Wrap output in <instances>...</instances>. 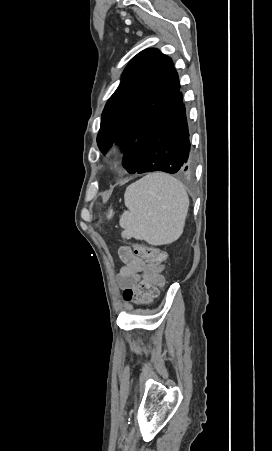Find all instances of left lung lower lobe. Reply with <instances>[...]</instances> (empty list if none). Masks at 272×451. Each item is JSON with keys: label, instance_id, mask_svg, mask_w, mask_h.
Instances as JSON below:
<instances>
[{"label": "left lung lower lobe", "instance_id": "obj_1", "mask_svg": "<svg viewBox=\"0 0 272 451\" xmlns=\"http://www.w3.org/2000/svg\"><path fill=\"white\" fill-rule=\"evenodd\" d=\"M189 130L180 89L159 117L137 173L183 172L192 168Z\"/></svg>", "mask_w": 272, "mask_h": 451}]
</instances>
